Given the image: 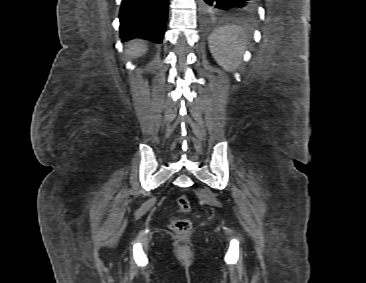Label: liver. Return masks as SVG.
I'll return each mask as SVG.
<instances>
[{
  "instance_id": "6515ba94",
  "label": "liver",
  "mask_w": 366,
  "mask_h": 283,
  "mask_svg": "<svg viewBox=\"0 0 366 283\" xmlns=\"http://www.w3.org/2000/svg\"><path fill=\"white\" fill-rule=\"evenodd\" d=\"M129 47L131 48V50L129 51V53L133 56V57H139L143 54L146 53L147 51V46L143 43H140L137 40L131 41L129 43Z\"/></svg>"
}]
</instances>
